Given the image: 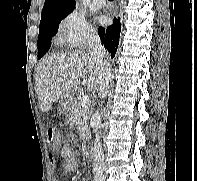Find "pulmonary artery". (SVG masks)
<instances>
[{"mask_svg": "<svg viewBox=\"0 0 197 181\" xmlns=\"http://www.w3.org/2000/svg\"><path fill=\"white\" fill-rule=\"evenodd\" d=\"M93 3L98 7H103L106 4V0H93Z\"/></svg>", "mask_w": 197, "mask_h": 181, "instance_id": "pulmonary-artery-1", "label": "pulmonary artery"}]
</instances>
